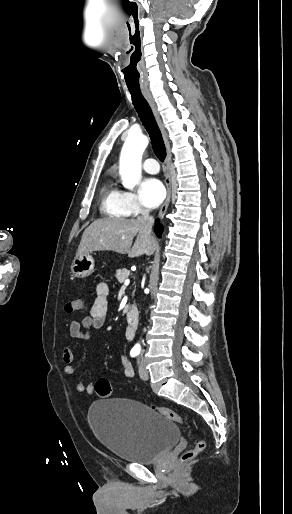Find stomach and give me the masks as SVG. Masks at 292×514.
Segmentation results:
<instances>
[{"instance_id":"1","label":"stomach","mask_w":292,"mask_h":514,"mask_svg":"<svg viewBox=\"0 0 292 514\" xmlns=\"http://www.w3.org/2000/svg\"><path fill=\"white\" fill-rule=\"evenodd\" d=\"M94 258L90 254L76 256L72 262L71 272L75 278H87L94 272Z\"/></svg>"}]
</instances>
